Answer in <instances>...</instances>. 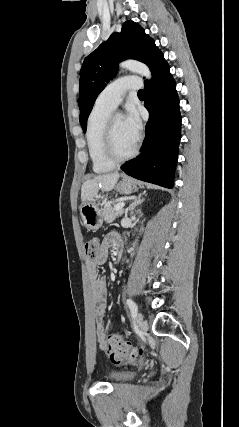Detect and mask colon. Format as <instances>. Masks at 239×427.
Returning <instances> with one entry per match:
<instances>
[{
	"label": "colon",
	"instance_id": "colon-1",
	"mask_svg": "<svg viewBox=\"0 0 239 427\" xmlns=\"http://www.w3.org/2000/svg\"><path fill=\"white\" fill-rule=\"evenodd\" d=\"M100 249V241L94 237L87 240L84 244L86 257L94 259ZM143 347H134L129 342L123 341L118 335L112 334L108 338L107 355H109L113 363H128L134 364L144 355Z\"/></svg>",
	"mask_w": 239,
	"mask_h": 427
}]
</instances>
